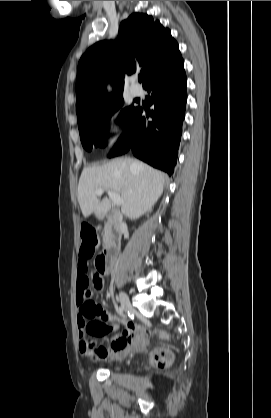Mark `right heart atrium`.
Masks as SVG:
<instances>
[{
  "mask_svg": "<svg viewBox=\"0 0 271 418\" xmlns=\"http://www.w3.org/2000/svg\"><path fill=\"white\" fill-rule=\"evenodd\" d=\"M102 139L106 146L117 145L124 137L126 124L120 111L109 112L102 122Z\"/></svg>",
  "mask_w": 271,
  "mask_h": 418,
  "instance_id": "1",
  "label": "right heart atrium"
}]
</instances>
